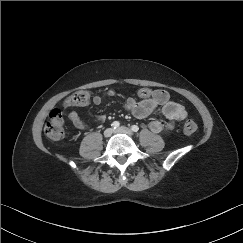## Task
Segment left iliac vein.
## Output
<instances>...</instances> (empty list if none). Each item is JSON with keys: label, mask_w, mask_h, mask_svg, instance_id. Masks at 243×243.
I'll use <instances>...</instances> for the list:
<instances>
[{"label": "left iliac vein", "mask_w": 243, "mask_h": 243, "mask_svg": "<svg viewBox=\"0 0 243 243\" xmlns=\"http://www.w3.org/2000/svg\"><path fill=\"white\" fill-rule=\"evenodd\" d=\"M114 133H125L129 136H132L133 135V132L131 129L125 127V126H121V127H118L117 129L114 130Z\"/></svg>", "instance_id": "left-iliac-vein-1"}]
</instances>
